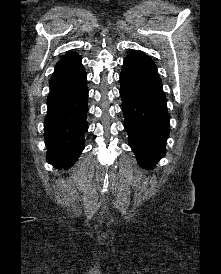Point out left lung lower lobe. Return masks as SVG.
<instances>
[{"label": "left lung lower lobe", "instance_id": "1", "mask_svg": "<svg viewBox=\"0 0 221 274\" xmlns=\"http://www.w3.org/2000/svg\"><path fill=\"white\" fill-rule=\"evenodd\" d=\"M124 127L138 163L153 169L165 156L169 114L153 60L139 50L128 53L120 75Z\"/></svg>", "mask_w": 221, "mask_h": 274}]
</instances>
